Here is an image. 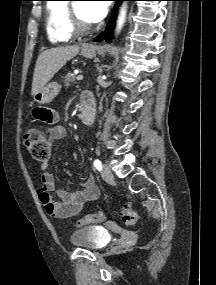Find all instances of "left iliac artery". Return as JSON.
<instances>
[{"instance_id":"left-iliac-artery-1","label":"left iliac artery","mask_w":216,"mask_h":285,"mask_svg":"<svg viewBox=\"0 0 216 285\" xmlns=\"http://www.w3.org/2000/svg\"><path fill=\"white\" fill-rule=\"evenodd\" d=\"M94 166H95V168H97L98 170H100V169L102 168V163H101V161L98 160V159H96V160L94 161Z\"/></svg>"}]
</instances>
